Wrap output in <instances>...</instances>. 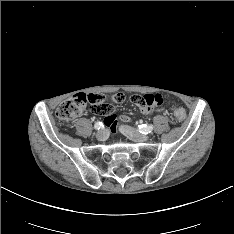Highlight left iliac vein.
<instances>
[{"instance_id":"obj_1","label":"left iliac vein","mask_w":234,"mask_h":234,"mask_svg":"<svg viewBox=\"0 0 234 234\" xmlns=\"http://www.w3.org/2000/svg\"><path fill=\"white\" fill-rule=\"evenodd\" d=\"M120 131L129 139L135 141V142H146L149 140L148 135H143L140 132L136 131L130 126L122 125L120 126Z\"/></svg>"}]
</instances>
